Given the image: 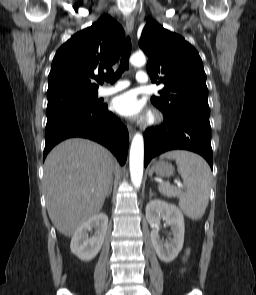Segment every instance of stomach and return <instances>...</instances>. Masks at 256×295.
Listing matches in <instances>:
<instances>
[{"instance_id": "1", "label": "stomach", "mask_w": 256, "mask_h": 295, "mask_svg": "<svg viewBox=\"0 0 256 295\" xmlns=\"http://www.w3.org/2000/svg\"><path fill=\"white\" fill-rule=\"evenodd\" d=\"M153 171L158 176L169 177L173 174L174 167L172 166V164L166 161L160 160L153 165Z\"/></svg>"}]
</instances>
